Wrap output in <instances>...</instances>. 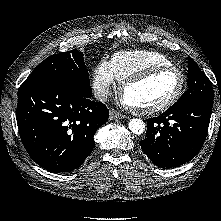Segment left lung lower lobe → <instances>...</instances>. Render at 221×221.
I'll return each mask as SVG.
<instances>
[{"mask_svg":"<svg viewBox=\"0 0 221 221\" xmlns=\"http://www.w3.org/2000/svg\"><path fill=\"white\" fill-rule=\"evenodd\" d=\"M212 107L213 101L194 99L148 119L142 150L158 167L172 168L189 162L203 146Z\"/></svg>","mask_w":221,"mask_h":221,"instance_id":"left-lung-lower-lobe-1","label":"left lung lower lobe"}]
</instances>
